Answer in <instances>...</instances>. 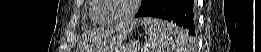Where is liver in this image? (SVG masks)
<instances>
[{"instance_id": "1", "label": "liver", "mask_w": 261, "mask_h": 52, "mask_svg": "<svg viewBox=\"0 0 261 52\" xmlns=\"http://www.w3.org/2000/svg\"><path fill=\"white\" fill-rule=\"evenodd\" d=\"M128 31H129V29H126V30H125V32H128Z\"/></svg>"}]
</instances>
